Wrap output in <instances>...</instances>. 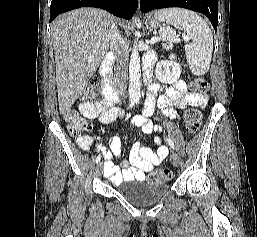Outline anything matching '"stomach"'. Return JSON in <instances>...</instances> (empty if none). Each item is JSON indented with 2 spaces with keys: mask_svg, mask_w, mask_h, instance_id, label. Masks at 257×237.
Listing matches in <instances>:
<instances>
[{
  "mask_svg": "<svg viewBox=\"0 0 257 237\" xmlns=\"http://www.w3.org/2000/svg\"><path fill=\"white\" fill-rule=\"evenodd\" d=\"M149 25H150L151 28L156 29L160 26V23L158 22L157 19H150L149 20Z\"/></svg>",
  "mask_w": 257,
  "mask_h": 237,
  "instance_id": "obj_1",
  "label": "stomach"
}]
</instances>
